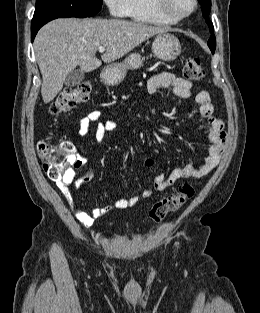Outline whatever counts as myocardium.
Segmentation results:
<instances>
[{
	"mask_svg": "<svg viewBox=\"0 0 260 313\" xmlns=\"http://www.w3.org/2000/svg\"><path fill=\"white\" fill-rule=\"evenodd\" d=\"M154 6L157 12L164 17L165 19L173 22V23H178L187 17H189L191 14L195 12L198 6V1L197 0H192V7L189 11L182 13L180 15H175L170 11V9L167 6V0H154Z\"/></svg>",
	"mask_w": 260,
	"mask_h": 313,
	"instance_id": "myocardium-1",
	"label": "myocardium"
}]
</instances>
